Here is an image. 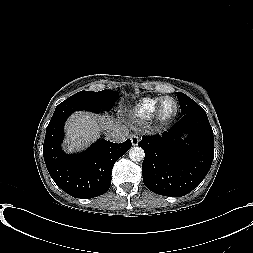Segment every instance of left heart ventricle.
<instances>
[{
  "label": "left heart ventricle",
  "mask_w": 253,
  "mask_h": 253,
  "mask_svg": "<svg viewBox=\"0 0 253 253\" xmlns=\"http://www.w3.org/2000/svg\"><path fill=\"white\" fill-rule=\"evenodd\" d=\"M175 105L173 101L167 100L162 106V113L166 116L171 115L174 112Z\"/></svg>",
  "instance_id": "b2bd125f"
}]
</instances>
